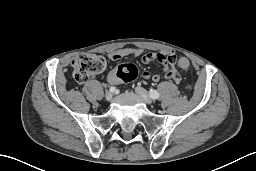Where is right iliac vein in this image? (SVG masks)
Segmentation results:
<instances>
[{
	"label": "right iliac vein",
	"mask_w": 256,
	"mask_h": 171,
	"mask_svg": "<svg viewBox=\"0 0 256 171\" xmlns=\"http://www.w3.org/2000/svg\"><path fill=\"white\" fill-rule=\"evenodd\" d=\"M112 98H113V94H112L111 92H107V93L105 94V100H106V101H111Z\"/></svg>",
	"instance_id": "obj_1"
}]
</instances>
